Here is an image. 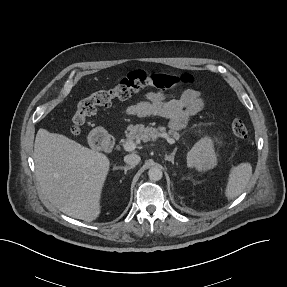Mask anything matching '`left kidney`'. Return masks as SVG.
Listing matches in <instances>:
<instances>
[{"label":"left kidney","mask_w":287,"mask_h":287,"mask_svg":"<svg viewBox=\"0 0 287 287\" xmlns=\"http://www.w3.org/2000/svg\"><path fill=\"white\" fill-rule=\"evenodd\" d=\"M187 165L199 171H207L217 165V157L210 138L201 139L188 152Z\"/></svg>","instance_id":"5707ae66"}]
</instances>
